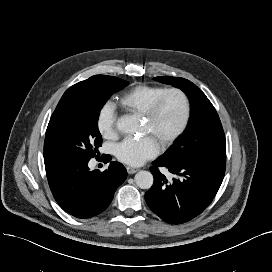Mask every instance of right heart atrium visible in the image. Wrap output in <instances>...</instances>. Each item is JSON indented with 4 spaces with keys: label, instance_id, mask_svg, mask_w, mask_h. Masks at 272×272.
<instances>
[{
    "label": "right heart atrium",
    "instance_id": "d8ad5b80",
    "mask_svg": "<svg viewBox=\"0 0 272 272\" xmlns=\"http://www.w3.org/2000/svg\"><path fill=\"white\" fill-rule=\"evenodd\" d=\"M117 114L114 104L106 101L99 109L96 117V127L103 138L112 139L117 135Z\"/></svg>",
    "mask_w": 272,
    "mask_h": 272
}]
</instances>
